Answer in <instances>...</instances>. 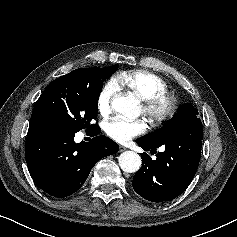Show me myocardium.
Returning <instances> with one entry per match:
<instances>
[{
  "label": "myocardium",
  "instance_id": "1",
  "mask_svg": "<svg viewBox=\"0 0 237 237\" xmlns=\"http://www.w3.org/2000/svg\"><path fill=\"white\" fill-rule=\"evenodd\" d=\"M178 108L177 100L167 93H159L142 100L143 114L153 126H159L170 120Z\"/></svg>",
  "mask_w": 237,
  "mask_h": 237
}]
</instances>
